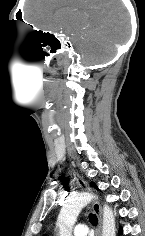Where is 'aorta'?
Wrapping results in <instances>:
<instances>
[{"label":"aorta","mask_w":145,"mask_h":236,"mask_svg":"<svg viewBox=\"0 0 145 236\" xmlns=\"http://www.w3.org/2000/svg\"><path fill=\"white\" fill-rule=\"evenodd\" d=\"M95 196L90 193H80L69 198L62 206L57 224L59 226V236H72L73 226L83 209ZM115 218L112 209L108 205L103 207L102 236H115Z\"/></svg>","instance_id":"762f6f07"}]
</instances>
